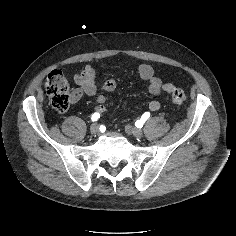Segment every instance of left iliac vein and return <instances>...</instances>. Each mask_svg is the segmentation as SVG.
I'll use <instances>...</instances> for the list:
<instances>
[{
    "instance_id": "1",
    "label": "left iliac vein",
    "mask_w": 236,
    "mask_h": 236,
    "mask_svg": "<svg viewBox=\"0 0 236 236\" xmlns=\"http://www.w3.org/2000/svg\"><path fill=\"white\" fill-rule=\"evenodd\" d=\"M126 130L128 133L133 135L135 138H141L143 136V131L141 129L134 128L130 125L126 126Z\"/></svg>"
}]
</instances>
